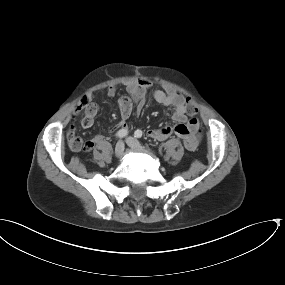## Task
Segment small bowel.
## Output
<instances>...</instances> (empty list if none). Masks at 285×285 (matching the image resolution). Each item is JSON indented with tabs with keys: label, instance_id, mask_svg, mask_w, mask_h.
Masks as SVG:
<instances>
[{
	"label": "small bowel",
	"instance_id": "1",
	"mask_svg": "<svg viewBox=\"0 0 285 285\" xmlns=\"http://www.w3.org/2000/svg\"><path fill=\"white\" fill-rule=\"evenodd\" d=\"M149 87V82L145 79H141L136 82H131L126 86V96H122L118 100L121 119L118 122L116 128L119 130L127 128V119L132 113L133 106H136L137 111H141L146 103V94ZM108 97H113L116 94V87L110 86L106 90ZM154 100L162 105L173 108V120L174 124L164 127H156L148 130V136L156 140H165L170 136H178L182 139L184 147L188 151H194L198 148L201 139L202 132L200 127V121L195 116H187V109L184 97L176 92H165L162 90H156L153 94ZM89 98L92 99V94H89ZM84 114L82 119V126L90 128L94 123V117L97 114V106L94 102L84 109L77 106L74 109V114ZM74 134V128L68 129L69 145L72 150H78L75 148L72 142V136ZM101 136L96 135L90 138L88 146L84 150H90L94 143L99 141Z\"/></svg>",
	"mask_w": 285,
	"mask_h": 285
}]
</instances>
